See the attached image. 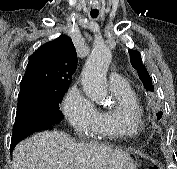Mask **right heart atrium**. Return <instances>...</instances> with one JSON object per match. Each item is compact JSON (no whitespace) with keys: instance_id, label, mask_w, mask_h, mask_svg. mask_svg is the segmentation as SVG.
Masks as SVG:
<instances>
[{"instance_id":"d8ad5b80","label":"right heart atrium","mask_w":177,"mask_h":169,"mask_svg":"<svg viewBox=\"0 0 177 169\" xmlns=\"http://www.w3.org/2000/svg\"><path fill=\"white\" fill-rule=\"evenodd\" d=\"M62 110L77 133L86 134L95 127L97 109L80 89L72 87L67 92L62 103Z\"/></svg>"}]
</instances>
